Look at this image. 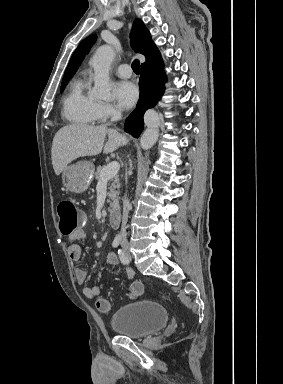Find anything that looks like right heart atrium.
Returning <instances> with one entry per match:
<instances>
[{"mask_svg":"<svg viewBox=\"0 0 283 384\" xmlns=\"http://www.w3.org/2000/svg\"><path fill=\"white\" fill-rule=\"evenodd\" d=\"M117 107L110 103L100 102L98 106V113L100 120H107L117 114Z\"/></svg>","mask_w":283,"mask_h":384,"instance_id":"d8ad5b80","label":"right heart atrium"}]
</instances>
